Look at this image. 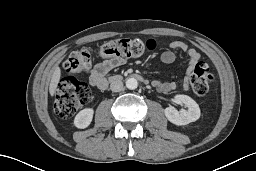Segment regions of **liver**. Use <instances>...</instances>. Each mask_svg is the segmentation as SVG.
<instances>
[{"mask_svg": "<svg viewBox=\"0 0 256 171\" xmlns=\"http://www.w3.org/2000/svg\"><path fill=\"white\" fill-rule=\"evenodd\" d=\"M60 76H61V70L58 66H55L53 74L51 76L50 85H49V93L51 96L55 94L56 88L60 81Z\"/></svg>", "mask_w": 256, "mask_h": 171, "instance_id": "obj_1", "label": "liver"}]
</instances>
